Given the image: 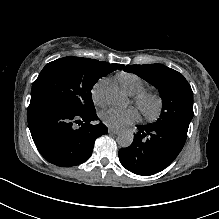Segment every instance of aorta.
<instances>
[{"label":"aorta","instance_id":"1","mask_svg":"<svg viewBox=\"0 0 219 219\" xmlns=\"http://www.w3.org/2000/svg\"><path fill=\"white\" fill-rule=\"evenodd\" d=\"M105 98L107 103L113 106L125 107L128 103L127 97L114 87L105 90ZM133 138L132 132L124 130L117 135L116 140L121 147L126 148L132 144Z\"/></svg>","mask_w":219,"mask_h":219}]
</instances>
